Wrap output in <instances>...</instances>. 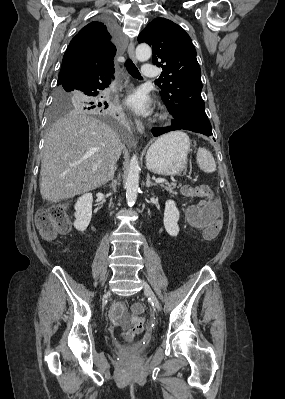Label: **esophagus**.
I'll use <instances>...</instances> for the list:
<instances>
[{
	"mask_svg": "<svg viewBox=\"0 0 285 399\" xmlns=\"http://www.w3.org/2000/svg\"><path fill=\"white\" fill-rule=\"evenodd\" d=\"M127 52H128L130 59L133 62H136L137 60H136V56H135V44L133 41H131L130 44L128 45ZM135 124H136L137 132L139 134H143L144 130H145L144 124L139 119L135 120Z\"/></svg>",
	"mask_w": 285,
	"mask_h": 399,
	"instance_id": "obj_1",
	"label": "esophagus"
}]
</instances>
